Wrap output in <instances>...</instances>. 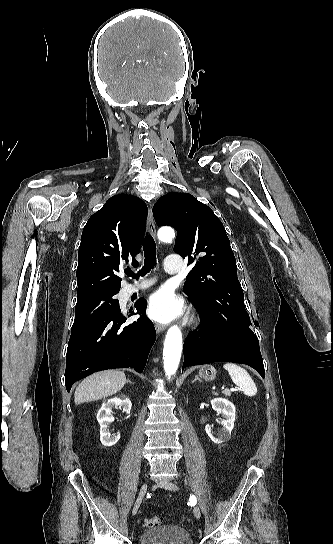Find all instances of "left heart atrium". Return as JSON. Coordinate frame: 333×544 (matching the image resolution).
<instances>
[{
  "label": "left heart atrium",
  "mask_w": 333,
  "mask_h": 544,
  "mask_svg": "<svg viewBox=\"0 0 333 544\" xmlns=\"http://www.w3.org/2000/svg\"><path fill=\"white\" fill-rule=\"evenodd\" d=\"M183 310L182 302L168 289H161L154 293L148 303V315L159 322H169Z\"/></svg>",
  "instance_id": "left-heart-atrium-1"
}]
</instances>
